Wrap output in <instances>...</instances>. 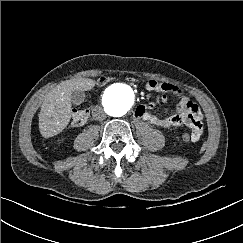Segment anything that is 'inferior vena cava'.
Wrapping results in <instances>:
<instances>
[{"mask_svg": "<svg viewBox=\"0 0 243 243\" xmlns=\"http://www.w3.org/2000/svg\"><path fill=\"white\" fill-rule=\"evenodd\" d=\"M92 116L95 120H99V121L106 119V114L101 107H96L92 111Z\"/></svg>", "mask_w": 243, "mask_h": 243, "instance_id": "602c4592", "label": "inferior vena cava"}]
</instances>
